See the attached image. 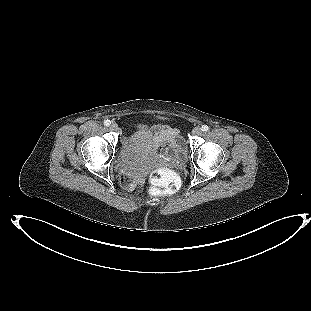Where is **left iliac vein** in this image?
Here are the masks:
<instances>
[{"mask_svg": "<svg viewBox=\"0 0 311 311\" xmlns=\"http://www.w3.org/2000/svg\"><path fill=\"white\" fill-rule=\"evenodd\" d=\"M201 133H202V130H201L200 127H195V128H193V130H192V134H193L194 136H199V135H201Z\"/></svg>", "mask_w": 311, "mask_h": 311, "instance_id": "left-iliac-vein-1", "label": "left iliac vein"}]
</instances>
